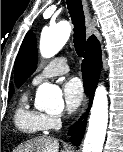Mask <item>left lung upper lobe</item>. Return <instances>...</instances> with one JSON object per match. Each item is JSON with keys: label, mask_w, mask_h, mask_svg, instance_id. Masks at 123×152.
<instances>
[{"label": "left lung upper lobe", "mask_w": 123, "mask_h": 152, "mask_svg": "<svg viewBox=\"0 0 123 152\" xmlns=\"http://www.w3.org/2000/svg\"><path fill=\"white\" fill-rule=\"evenodd\" d=\"M36 65V38L34 34L29 31L22 42L15 62V83L18 87L35 71Z\"/></svg>", "instance_id": "5c2ea615"}]
</instances>
